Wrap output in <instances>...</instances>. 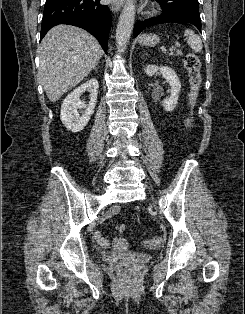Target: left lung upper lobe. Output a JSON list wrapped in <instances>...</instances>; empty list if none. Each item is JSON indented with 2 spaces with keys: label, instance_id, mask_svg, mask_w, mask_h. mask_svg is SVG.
Segmentation results:
<instances>
[{
  "label": "left lung upper lobe",
  "instance_id": "1",
  "mask_svg": "<svg viewBox=\"0 0 245 314\" xmlns=\"http://www.w3.org/2000/svg\"><path fill=\"white\" fill-rule=\"evenodd\" d=\"M169 12L188 10L199 13L198 0H164Z\"/></svg>",
  "mask_w": 245,
  "mask_h": 314
}]
</instances>
